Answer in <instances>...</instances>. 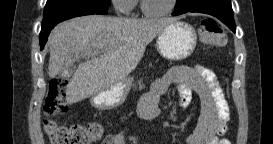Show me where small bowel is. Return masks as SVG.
<instances>
[{
	"label": "small bowel",
	"mask_w": 273,
	"mask_h": 144,
	"mask_svg": "<svg viewBox=\"0 0 273 144\" xmlns=\"http://www.w3.org/2000/svg\"><path fill=\"white\" fill-rule=\"evenodd\" d=\"M171 84L180 86V106L185 108L190 101V92L198 93L201 100V114L195 130L185 136L186 144H220L219 136L227 129L230 118L227 101L216 75L208 68L176 66L157 78L150 90L143 95L138 105V115L152 120L159 114V100ZM105 144H125V137L118 133L108 136Z\"/></svg>",
	"instance_id": "1"
}]
</instances>
